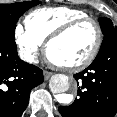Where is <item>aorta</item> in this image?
<instances>
[{"label":"aorta","instance_id":"obj_1","mask_svg":"<svg viewBox=\"0 0 117 117\" xmlns=\"http://www.w3.org/2000/svg\"><path fill=\"white\" fill-rule=\"evenodd\" d=\"M69 88L70 80L68 76L63 74H56L52 76L50 80V89L52 93L55 94L56 100L59 103L67 105L72 102L73 96L66 93Z\"/></svg>","mask_w":117,"mask_h":117}]
</instances>
